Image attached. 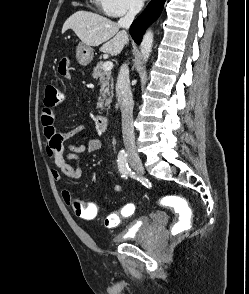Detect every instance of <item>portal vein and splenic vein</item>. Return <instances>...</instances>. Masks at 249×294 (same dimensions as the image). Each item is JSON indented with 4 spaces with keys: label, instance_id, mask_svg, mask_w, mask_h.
<instances>
[{
    "label": "portal vein and splenic vein",
    "instance_id": "obj_1",
    "mask_svg": "<svg viewBox=\"0 0 249 294\" xmlns=\"http://www.w3.org/2000/svg\"><path fill=\"white\" fill-rule=\"evenodd\" d=\"M113 68V62L112 61H106L103 64V70L110 71Z\"/></svg>",
    "mask_w": 249,
    "mask_h": 294
}]
</instances>
